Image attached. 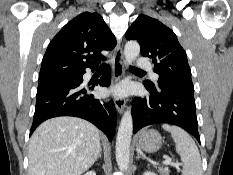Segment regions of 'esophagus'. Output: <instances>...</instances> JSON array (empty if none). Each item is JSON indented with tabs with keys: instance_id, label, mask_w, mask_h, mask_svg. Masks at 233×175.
I'll use <instances>...</instances> for the list:
<instances>
[{
	"instance_id": "esophagus-1",
	"label": "esophagus",
	"mask_w": 233,
	"mask_h": 175,
	"mask_svg": "<svg viewBox=\"0 0 233 175\" xmlns=\"http://www.w3.org/2000/svg\"><path fill=\"white\" fill-rule=\"evenodd\" d=\"M112 69H113V83H117L124 75V56L123 50L120 44L115 48L113 58H112ZM114 104L119 113H122L125 108V100L121 97L114 98Z\"/></svg>"
}]
</instances>
